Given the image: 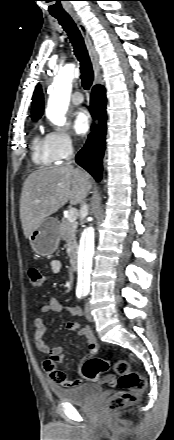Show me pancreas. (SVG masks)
Listing matches in <instances>:
<instances>
[{
  "label": "pancreas",
  "mask_w": 174,
  "mask_h": 440,
  "mask_svg": "<svg viewBox=\"0 0 174 440\" xmlns=\"http://www.w3.org/2000/svg\"><path fill=\"white\" fill-rule=\"evenodd\" d=\"M76 231L77 222H69L66 218L62 219L59 228L60 237L70 244L72 254L75 253L77 248Z\"/></svg>",
  "instance_id": "obj_1"
}]
</instances>
